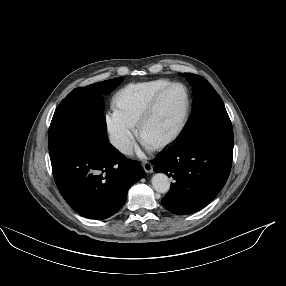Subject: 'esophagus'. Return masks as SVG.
I'll return each mask as SVG.
<instances>
[{"mask_svg": "<svg viewBox=\"0 0 286 286\" xmlns=\"http://www.w3.org/2000/svg\"><path fill=\"white\" fill-rule=\"evenodd\" d=\"M142 166L146 173H152L153 172V165L150 162H143Z\"/></svg>", "mask_w": 286, "mask_h": 286, "instance_id": "1", "label": "esophagus"}]
</instances>
